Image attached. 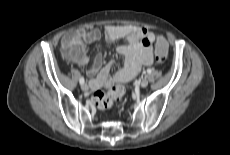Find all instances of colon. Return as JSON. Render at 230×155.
Returning a JSON list of instances; mask_svg holds the SVG:
<instances>
[{
  "label": "colon",
  "instance_id": "obj_1",
  "mask_svg": "<svg viewBox=\"0 0 230 155\" xmlns=\"http://www.w3.org/2000/svg\"><path fill=\"white\" fill-rule=\"evenodd\" d=\"M79 41L75 35H69L64 44V53L66 56L76 55L80 52ZM168 53L167 41L159 36L156 41V61L163 62ZM124 95L122 87H115L108 92L96 91L93 95V102L100 110L111 108L115 103L121 100Z\"/></svg>",
  "mask_w": 230,
  "mask_h": 155
}]
</instances>
